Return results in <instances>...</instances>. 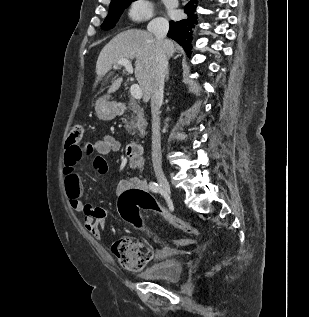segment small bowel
Instances as JSON below:
<instances>
[{
  "label": "small bowel",
  "instance_id": "1",
  "mask_svg": "<svg viewBox=\"0 0 309 317\" xmlns=\"http://www.w3.org/2000/svg\"><path fill=\"white\" fill-rule=\"evenodd\" d=\"M89 153L95 152V156L92 158V169L99 173L105 174L108 170V164L106 156L113 152L119 151L121 144L113 136H105L103 139L97 140L90 145ZM77 163L68 164L65 161L64 166V186L65 192L69 199L71 207L74 211L83 214V225L87 232L95 239L100 240L102 237V231L106 229V219L109 216V212L101 207H95L91 204L84 203L82 200L83 185L81 178L77 171ZM129 164L132 168L143 169L144 159L141 156L130 158ZM130 189H140L147 191V182L141 177H130L125 180H121L117 186L118 194H123ZM166 249L159 250L158 254H162Z\"/></svg>",
  "mask_w": 309,
  "mask_h": 317
}]
</instances>
